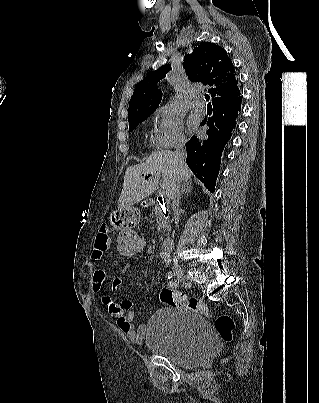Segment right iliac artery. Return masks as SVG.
<instances>
[{
	"mask_svg": "<svg viewBox=\"0 0 319 403\" xmlns=\"http://www.w3.org/2000/svg\"><path fill=\"white\" fill-rule=\"evenodd\" d=\"M172 276H173V274H172V272H171V271L167 272V274H166V278H167V279H171V278H172ZM172 285H173L174 287H175V286H177L176 281H175V282H173V283H172Z\"/></svg>",
	"mask_w": 319,
	"mask_h": 403,
	"instance_id": "1",
	"label": "right iliac artery"
}]
</instances>
